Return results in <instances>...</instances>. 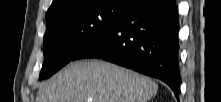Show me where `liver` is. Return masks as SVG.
Listing matches in <instances>:
<instances>
[{"mask_svg":"<svg viewBox=\"0 0 221 102\" xmlns=\"http://www.w3.org/2000/svg\"><path fill=\"white\" fill-rule=\"evenodd\" d=\"M158 85L150 78L102 60L70 63L44 83L36 102H147Z\"/></svg>","mask_w":221,"mask_h":102,"instance_id":"liver-1","label":"liver"}]
</instances>
